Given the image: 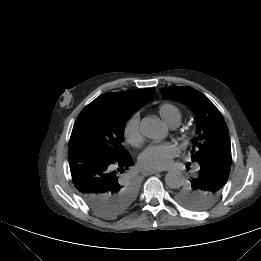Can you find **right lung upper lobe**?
Returning a JSON list of instances; mask_svg holds the SVG:
<instances>
[{"label":"right lung upper lobe","mask_w":261,"mask_h":261,"mask_svg":"<svg viewBox=\"0 0 261 261\" xmlns=\"http://www.w3.org/2000/svg\"><path fill=\"white\" fill-rule=\"evenodd\" d=\"M155 89L131 90L124 92L105 93L96 98L108 104L124 117H129L146 104L154 95Z\"/></svg>","instance_id":"1"}]
</instances>
